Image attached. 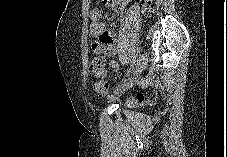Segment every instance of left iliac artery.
<instances>
[{
	"instance_id": "1",
	"label": "left iliac artery",
	"mask_w": 227,
	"mask_h": 157,
	"mask_svg": "<svg viewBox=\"0 0 227 157\" xmlns=\"http://www.w3.org/2000/svg\"><path fill=\"white\" fill-rule=\"evenodd\" d=\"M140 51H141V48L140 47H137L136 50H135L133 59L131 61L130 69L127 71L126 75L123 78L124 80H125V77H128L131 74V72L133 71L134 65H135V61H136V57L138 56V54L140 53Z\"/></svg>"
}]
</instances>
